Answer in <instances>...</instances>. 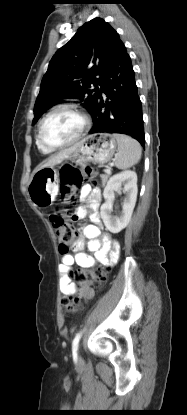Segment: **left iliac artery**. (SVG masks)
I'll list each match as a JSON object with an SVG mask.
<instances>
[{
  "mask_svg": "<svg viewBox=\"0 0 187 415\" xmlns=\"http://www.w3.org/2000/svg\"><path fill=\"white\" fill-rule=\"evenodd\" d=\"M81 335H82V332H79L76 334L75 338L73 339V343H72L73 353H76L78 350V344H79Z\"/></svg>",
  "mask_w": 187,
  "mask_h": 415,
  "instance_id": "1",
  "label": "left iliac artery"
}]
</instances>
